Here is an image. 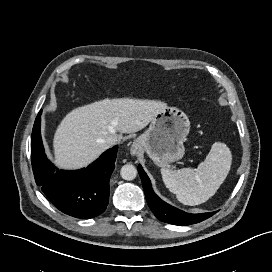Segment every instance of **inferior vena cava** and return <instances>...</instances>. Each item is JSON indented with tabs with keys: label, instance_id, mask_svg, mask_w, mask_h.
<instances>
[{
	"label": "inferior vena cava",
	"instance_id": "1",
	"mask_svg": "<svg viewBox=\"0 0 272 272\" xmlns=\"http://www.w3.org/2000/svg\"><path fill=\"white\" fill-rule=\"evenodd\" d=\"M118 141H119V136L117 134H111L105 140V142L109 146L115 145Z\"/></svg>",
	"mask_w": 272,
	"mask_h": 272
}]
</instances>
